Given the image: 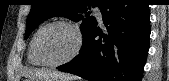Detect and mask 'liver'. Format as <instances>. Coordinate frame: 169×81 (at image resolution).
<instances>
[{
	"label": "liver",
	"instance_id": "liver-1",
	"mask_svg": "<svg viewBox=\"0 0 169 81\" xmlns=\"http://www.w3.org/2000/svg\"><path fill=\"white\" fill-rule=\"evenodd\" d=\"M24 75L29 77L31 81L38 80H72L73 78L67 74L58 72V71H50V70H38V69H30L23 72Z\"/></svg>",
	"mask_w": 169,
	"mask_h": 81
}]
</instances>
